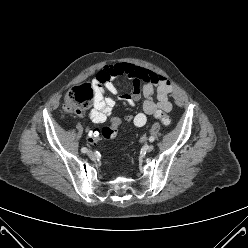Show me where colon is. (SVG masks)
<instances>
[{
	"instance_id": "obj_1",
	"label": "colon",
	"mask_w": 248,
	"mask_h": 248,
	"mask_svg": "<svg viewBox=\"0 0 248 248\" xmlns=\"http://www.w3.org/2000/svg\"><path fill=\"white\" fill-rule=\"evenodd\" d=\"M95 88L90 83H82L73 87L65 96L64 100V111L68 114H80L82 113L94 100L95 98ZM155 116L164 125H169L171 123V118L163 112H157ZM126 122L134 121L133 113L125 114ZM120 119L113 118L110 126L103 128L102 136L105 138L113 137L120 126ZM101 139V132L98 129H91L87 133V140L90 143H99Z\"/></svg>"
}]
</instances>
